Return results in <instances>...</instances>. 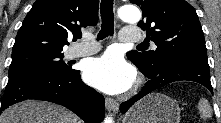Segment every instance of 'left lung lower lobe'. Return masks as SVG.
<instances>
[{"label":"left lung lower lobe","instance_id":"obj_1","mask_svg":"<svg viewBox=\"0 0 221 123\" xmlns=\"http://www.w3.org/2000/svg\"><path fill=\"white\" fill-rule=\"evenodd\" d=\"M135 65L147 77L148 81L139 94L121 104L120 111L123 114L126 113L136 101L148 93L174 81L188 80L198 82L213 93L208 62L195 59H181L149 70L143 69L137 64Z\"/></svg>","mask_w":221,"mask_h":123}]
</instances>
